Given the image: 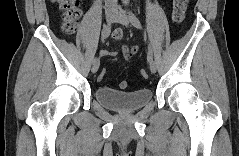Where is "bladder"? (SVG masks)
Listing matches in <instances>:
<instances>
[{
    "instance_id": "31cf9c89",
    "label": "bladder",
    "mask_w": 239,
    "mask_h": 156,
    "mask_svg": "<svg viewBox=\"0 0 239 156\" xmlns=\"http://www.w3.org/2000/svg\"><path fill=\"white\" fill-rule=\"evenodd\" d=\"M94 97L104 107L117 112L137 111L152 99L149 88L138 89L133 92H123L109 87H98Z\"/></svg>"
}]
</instances>
